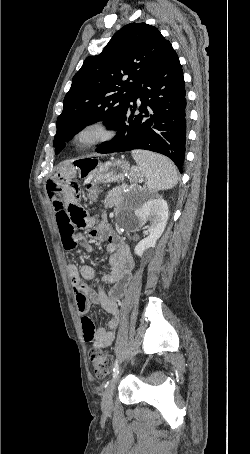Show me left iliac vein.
Here are the masks:
<instances>
[{
	"instance_id": "left-iliac-vein-1",
	"label": "left iliac vein",
	"mask_w": 250,
	"mask_h": 454,
	"mask_svg": "<svg viewBox=\"0 0 250 454\" xmlns=\"http://www.w3.org/2000/svg\"><path fill=\"white\" fill-rule=\"evenodd\" d=\"M123 372V369L120 370L119 374L113 378V380L108 384L103 394L101 407L105 413H110L113 408V392L116 387V384Z\"/></svg>"
}]
</instances>
